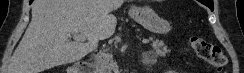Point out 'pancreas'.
<instances>
[{
    "label": "pancreas",
    "instance_id": "1",
    "mask_svg": "<svg viewBox=\"0 0 244 73\" xmlns=\"http://www.w3.org/2000/svg\"><path fill=\"white\" fill-rule=\"evenodd\" d=\"M152 49L156 56H164L170 52L167 45L161 40L153 41ZM95 65L98 67L99 73H109L116 63L114 62L112 55L101 52L95 57Z\"/></svg>",
    "mask_w": 244,
    "mask_h": 73
}]
</instances>
